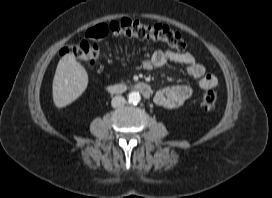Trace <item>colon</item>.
Returning <instances> with one entry per match:
<instances>
[{
  "mask_svg": "<svg viewBox=\"0 0 272 198\" xmlns=\"http://www.w3.org/2000/svg\"><path fill=\"white\" fill-rule=\"evenodd\" d=\"M109 34L139 39L161 40L178 51H184L187 47L184 38L166 26L147 25L138 19L121 18L107 23H99L91 27L87 30L85 37L77 44L64 48L63 54L84 62L94 63L100 57L98 42ZM216 101L217 94L213 89H207L203 93L201 103L204 109H213Z\"/></svg>",
  "mask_w": 272,
  "mask_h": 198,
  "instance_id": "obj_1",
  "label": "colon"
}]
</instances>
